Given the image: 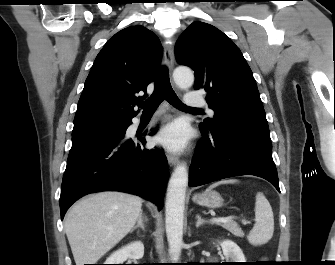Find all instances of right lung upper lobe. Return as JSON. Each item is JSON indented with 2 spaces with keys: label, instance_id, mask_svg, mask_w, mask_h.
I'll list each match as a JSON object with an SVG mask.
<instances>
[{
  "label": "right lung upper lobe",
  "instance_id": "1",
  "mask_svg": "<svg viewBox=\"0 0 335 265\" xmlns=\"http://www.w3.org/2000/svg\"><path fill=\"white\" fill-rule=\"evenodd\" d=\"M162 56L159 38L143 26L125 28L97 55L78 102L74 126L130 122ZM143 91V97L136 94Z\"/></svg>",
  "mask_w": 335,
  "mask_h": 265
}]
</instances>
